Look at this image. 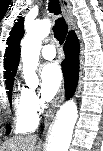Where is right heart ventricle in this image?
Wrapping results in <instances>:
<instances>
[{"instance_id": "obj_1", "label": "right heart ventricle", "mask_w": 103, "mask_h": 151, "mask_svg": "<svg viewBox=\"0 0 103 151\" xmlns=\"http://www.w3.org/2000/svg\"><path fill=\"white\" fill-rule=\"evenodd\" d=\"M15 132L25 134L32 132L37 126V117L32 116L24 103L22 92L14 98Z\"/></svg>"}]
</instances>
